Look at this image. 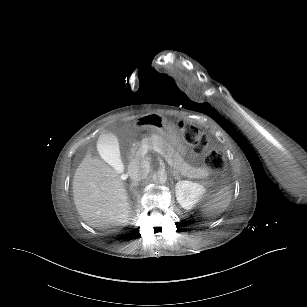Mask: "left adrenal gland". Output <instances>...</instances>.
<instances>
[{
	"label": "left adrenal gland",
	"mask_w": 307,
	"mask_h": 307,
	"mask_svg": "<svg viewBox=\"0 0 307 307\" xmlns=\"http://www.w3.org/2000/svg\"><path fill=\"white\" fill-rule=\"evenodd\" d=\"M173 176L175 177V180L179 179V175H178V172H175V171H171Z\"/></svg>",
	"instance_id": "obj_1"
}]
</instances>
